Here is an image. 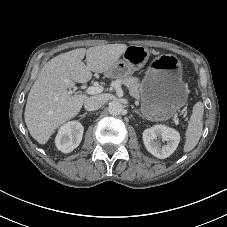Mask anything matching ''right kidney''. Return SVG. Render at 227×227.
Wrapping results in <instances>:
<instances>
[{
    "instance_id": "right-kidney-1",
    "label": "right kidney",
    "mask_w": 227,
    "mask_h": 227,
    "mask_svg": "<svg viewBox=\"0 0 227 227\" xmlns=\"http://www.w3.org/2000/svg\"><path fill=\"white\" fill-rule=\"evenodd\" d=\"M84 128L78 121H71L59 129L55 138V144L58 150L63 153L73 151L80 144L83 137Z\"/></svg>"
}]
</instances>
